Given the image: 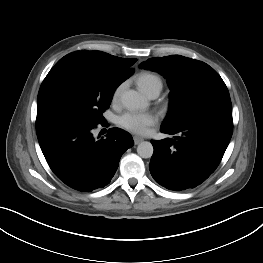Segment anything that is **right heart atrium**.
Instances as JSON below:
<instances>
[{"mask_svg":"<svg viewBox=\"0 0 263 263\" xmlns=\"http://www.w3.org/2000/svg\"><path fill=\"white\" fill-rule=\"evenodd\" d=\"M121 91H122V86H118V87L114 90L113 95H112L113 101L118 100V98L120 97Z\"/></svg>","mask_w":263,"mask_h":263,"instance_id":"1","label":"right heart atrium"}]
</instances>
